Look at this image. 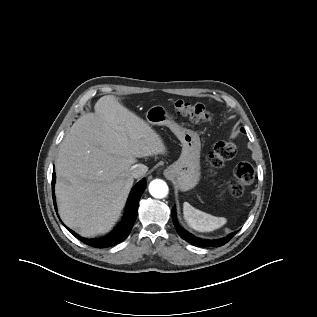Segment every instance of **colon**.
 <instances>
[{"label":"colon","mask_w":317,"mask_h":317,"mask_svg":"<svg viewBox=\"0 0 317 317\" xmlns=\"http://www.w3.org/2000/svg\"><path fill=\"white\" fill-rule=\"evenodd\" d=\"M178 115L189 117L195 122H211L212 116L205 106L200 103H190L179 100L174 105ZM236 154V145L231 141L218 142L208 157L210 175L215 170L222 167L227 161L234 158ZM254 180V170L247 162H240L234 170V178L227 186L228 193L233 197H240L244 192V188L251 184Z\"/></svg>","instance_id":"5ec220e1"}]
</instances>
